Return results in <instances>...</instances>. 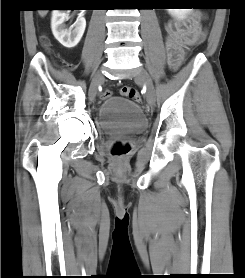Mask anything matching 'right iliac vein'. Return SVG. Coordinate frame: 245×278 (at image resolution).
<instances>
[{
	"mask_svg": "<svg viewBox=\"0 0 245 278\" xmlns=\"http://www.w3.org/2000/svg\"><path fill=\"white\" fill-rule=\"evenodd\" d=\"M104 80V75L101 71L96 72L94 75L90 88H89V99L93 101L96 97L98 87L99 85L103 82Z\"/></svg>",
	"mask_w": 245,
	"mask_h": 278,
	"instance_id": "1",
	"label": "right iliac vein"
}]
</instances>
